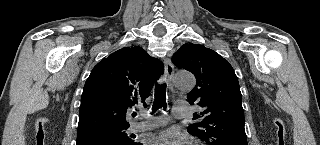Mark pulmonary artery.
Wrapping results in <instances>:
<instances>
[{
    "label": "pulmonary artery",
    "mask_w": 320,
    "mask_h": 145,
    "mask_svg": "<svg viewBox=\"0 0 320 145\" xmlns=\"http://www.w3.org/2000/svg\"><path fill=\"white\" fill-rule=\"evenodd\" d=\"M173 114L177 118L188 116L189 106L187 102L176 101L173 106ZM143 117L146 118L145 121L136 122L130 126L129 130L131 132H143V131L151 130L167 124L169 120L168 117L164 115H161V116L143 115Z\"/></svg>",
    "instance_id": "obj_1"
}]
</instances>
